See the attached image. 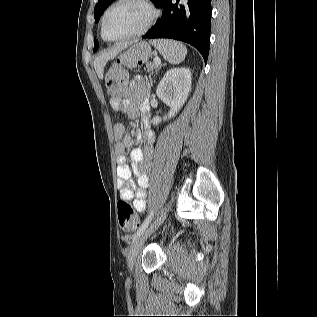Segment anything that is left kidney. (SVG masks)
Returning a JSON list of instances; mask_svg holds the SVG:
<instances>
[{
    "mask_svg": "<svg viewBox=\"0 0 317 317\" xmlns=\"http://www.w3.org/2000/svg\"><path fill=\"white\" fill-rule=\"evenodd\" d=\"M191 81V71L186 67L170 69L165 73L156 89L159 99L170 106V111L163 120L174 117L184 105L191 89ZM161 121L159 116L152 119L153 125H158Z\"/></svg>",
    "mask_w": 317,
    "mask_h": 317,
    "instance_id": "1",
    "label": "left kidney"
}]
</instances>
